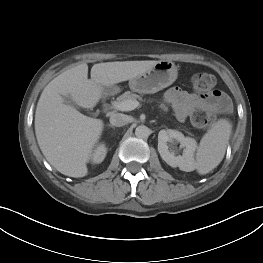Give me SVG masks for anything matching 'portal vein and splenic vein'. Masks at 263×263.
I'll return each instance as SVG.
<instances>
[{
  "mask_svg": "<svg viewBox=\"0 0 263 263\" xmlns=\"http://www.w3.org/2000/svg\"><path fill=\"white\" fill-rule=\"evenodd\" d=\"M139 102L137 100H126L123 102H115L113 103V108L119 111H131L139 106Z\"/></svg>",
  "mask_w": 263,
  "mask_h": 263,
  "instance_id": "18ae733b",
  "label": "portal vein and splenic vein"
}]
</instances>
